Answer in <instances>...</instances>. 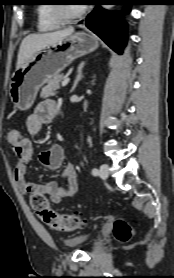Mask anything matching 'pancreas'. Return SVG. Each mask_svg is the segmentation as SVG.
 Here are the masks:
<instances>
[{
  "label": "pancreas",
  "mask_w": 174,
  "mask_h": 278,
  "mask_svg": "<svg viewBox=\"0 0 174 278\" xmlns=\"http://www.w3.org/2000/svg\"><path fill=\"white\" fill-rule=\"evenodd\" d=\"M63 75L58 74L52 77L47 81V85L43 87L41 91V97L47 98L50 96H55L57 94V90L60 89L59 82L62 80Z\"/></svg>",
  "instance_id": "cf45deb5"
}]
</instances>
